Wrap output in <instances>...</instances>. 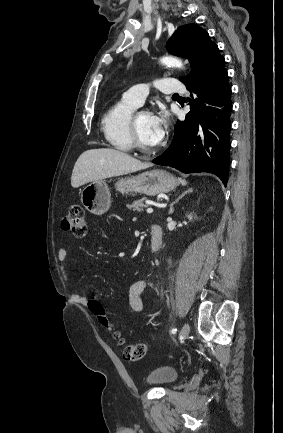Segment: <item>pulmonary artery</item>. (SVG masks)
I'll list each match as a JSON object with an SVG mask.
<instances>
[{"instance_id": "1", "label": "pulmonary artery", "mask_w": 283, "mask_h": 433, "mask_svg": "<svg viewBox=\"0 0 283 433\" xmlns=\"http://www.w3.org/2000/svg\"><path fill=\"white\" fill-rule=\"evenodd\" d=\"M155 85L159 87L161 92H178L180 96H187L189 93L188 88L185 87L184 83H179L178 78H157ZM146 88L143 83L134 86L125 92L124 98L136 106H141L148 95Z\"/></svg>"}]
</instances>
